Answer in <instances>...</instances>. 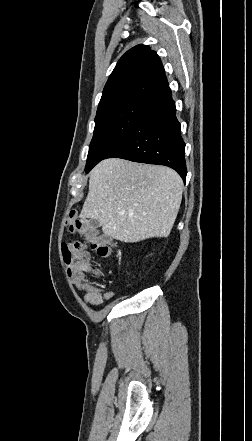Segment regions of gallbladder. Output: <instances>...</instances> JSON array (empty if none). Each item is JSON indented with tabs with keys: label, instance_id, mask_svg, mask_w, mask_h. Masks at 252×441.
<instances>
[{
	"label": "gallbladder",
	"instance_id": "obj_1",
	"mask_svg": "<svg viewBox=\"0 0 252 441\" xmlns=\"http://www.w3.org/2000/svg\"><path fill=\"white\" fill-rule=\"evenodd\" d=\"M86 224H87V226L89 228H92V229H96V228H99L101 226V223L98 220H95V219L88 220L86 222Z\"/></svg>",
	"mask_w": 252,
	"mask_h": 441
}]
</instances>
